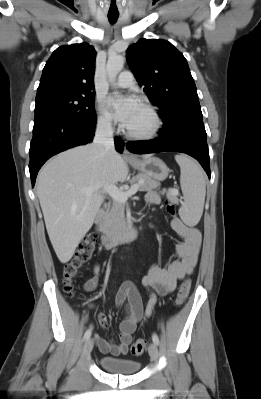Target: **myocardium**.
Wrapping results in <instances>:
<instances>
[{
	"mask_svg": "<svg viewBox=\"0 0 261 399\" xmlns=\"http://www.w3.org/2000/svg\"><path fill=\"white\" fill-rule=\"evenodd\" d=\"M142 106L147 110L149 115L151 116L153 120V125L152 127L142 133H136L128 130L127 128L125 129V134L134 140H150L155 138L162 130L163 128V119L158 112V110L151 104L149 103H143Z\"/></svg>",
	"mask_w": 261,
	"mask_h": 399,
	"instance_id": "obj_1",
	"label": "myocardium"
}]
</instances>
